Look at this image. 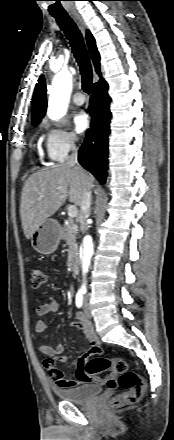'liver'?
I'll return each instance as SVG.
<instances>
[{
    "instance_id": "liver-1",
    "label": "liver",
    "mask_w": 174,
    "mask_h": 440,
    "mask_svg": "<svg viewBox=\"0 0 174 440\" xmlns=\"http://www.w3.org/2000/svg\"><path fill=\"white\" fill-rule=\"evenodd\" d=\"M91 174L81 167L75 169L66 164L45 168L30 175L22 189L20 217L27 239L38 227L69 198L80 205L85 189L93 187ZM43 196L41 200L39 197Z\"/></svg>"
}]
</instances>
